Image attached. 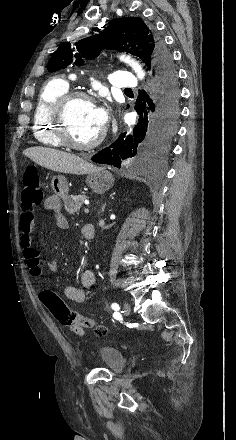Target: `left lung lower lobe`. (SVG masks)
I'll return each instance as SVG.
<instances>
[{"mask_svg":"<svg viewBox=\"0 0 236 440\" xmlns=\"http://www.w3.org/2000/svg\"><path fill=\"white\" fill-rule=\"evenodd\" d=\"M152 75V94L149 96L141 91L136 101L138 124L131 132L120 134L113 144L94 155V162L120 167L128 158L159 154L166 148L176 132L180 113L177 74L173 62L166 64L159 61L152 65Z\"/></svg>","mask_w":236,"mask_h":440,"instance_id":"1","label":"left lung lower lobe"}]
</instances>
